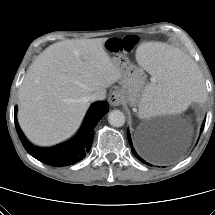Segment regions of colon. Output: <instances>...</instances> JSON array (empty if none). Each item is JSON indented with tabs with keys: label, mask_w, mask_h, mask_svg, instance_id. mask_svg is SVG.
Instances as JSON below:
<instances>
[{
	"label": "colon",
	"mask_w": 215,
	"mask_h": 215,
	"mask_svg": "<svg viewBox=\"0 0 215 215\" xmlns=\"http://www.w3.org/2000/svg\"><path fill=\"white\" fill-rule=\"evenodd\" d=\"M137 42L138 38L135 35H127L121 39L119 37H112L104 42V49L108 53L121 51L123 54H130L134 50Z\"/></svg>",
	"instance_id": "1"
}]
</instances>
